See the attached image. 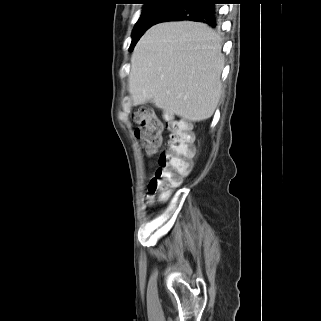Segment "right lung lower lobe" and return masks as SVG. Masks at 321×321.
<instances>
[{
    "label": "right lung lower lobe",
    "mask_w": 321,
    "mask_h": 321,
    "mask_svg": "<svg viewBox=\"0 0 321 321\" xmlns=\"http://www.w3.org/2000/svg\"><path fill=\"white\" fill-rule=\"evenodd\" d=\"M215 4L217 0H187L170 8L160 17L158 23L190 20L206 23L214 28L218 25L219 19Z\"/></svg>",
    "instance_id": "right-lung-lower-lobe-1"
}]
</instances>
